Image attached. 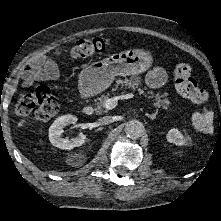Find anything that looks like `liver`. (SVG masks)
Here are the masks:
<instances>
[{
  "mask_svg": "<svg viewBox=\"0 0 221 221\" xmlns=\"http://www.w3.org/2000/svg\"><path fill=\"white\" fill-rule=\"evenodd\" d=\"M24 123H25V119H22V120L18 123V127H22Z\"/></svg>",
  "mask_w": 221,
  "mask_h": 221,
  "instance_id": "liver-1",
  "label": "liver"
}]
</instances>
